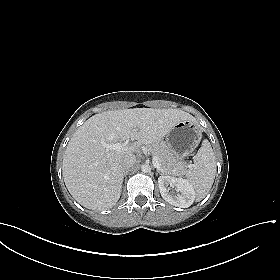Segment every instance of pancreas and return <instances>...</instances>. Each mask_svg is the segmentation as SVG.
<instances>
[{
	"mask_svg": "<svg viewBox=\"0 0 280 280\" xmlns=\"http://www.w3.org/2000/svg\"><path fill=\"white\" fill-rule=\"evenodd\" d=\"M147 148L157 156L164 173L171 175H184L187 165L179 161L170 147L163 141L147 144Z\"/></svg>",
	"mask_w": 280,
	"mask_h": 280,
	"instance_id": "cf45deb5",
	"label": "pancreas"
}]
</instances>
